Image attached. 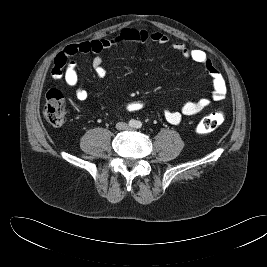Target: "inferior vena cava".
<instances>
[{"mask_svg":"<svg viewBox=\"0 0 267 267\" xmlns=\"http://www.w3.org/2000/svg\"><path fill=\"white\" fill-rule=\"evenodd\" d=\"M120 124L123 126V127H122L123 129H126V128H127V124H126V123H123V122H122V123H120Z\"/></svg>","mask_w":267,"mask_h":267,"instance_id":"602c4592","label":"inferior vena cava"}]
</instances>
